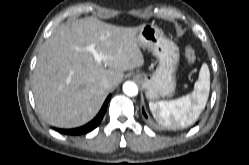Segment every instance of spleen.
Returning a JSON list of instances; mask_svg holds the SVG:
<instances>
[{
  "label": "spleen",
  "mask_w": 249,
  "mask_h": 165,
  "mask_svg": "<svg viewBox=\"0 0 249 165\" xmlns=\"http://www.w3.org/2000/svg\"><path fill=\"white\" fill-rule=\"evenodd\" d=\"M210 90V72L204 63L195 82L192 93L171 101L149 102V108L155 120L172 127H185L193 124L205 108Z\"/></svg>",
  "instance_id": "spleen-1"
}]
</instances>
